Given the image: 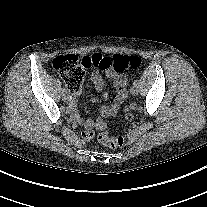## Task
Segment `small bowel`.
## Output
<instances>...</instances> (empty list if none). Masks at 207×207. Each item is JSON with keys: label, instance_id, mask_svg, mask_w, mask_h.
<instances>
[{"label": "small bowel", "instance_id": "c3829d8e", "mask_svg": "<svg viewBox=\"0 0 207 207\" xmlns=\"http://www.w3.org/2000/svg\"><path fill=\"white\" fill-rule=\"evenodd\" d=\"M106 76L109 78L116 89V93L111 97L110 104L103 105L100 108V115L104 118L115 116L122 104V102L127 97V89H126V78L124 75L118 74L114 70H107ZM91 81L94 83L96 89L102 93L101 99H92V102H98L101 100H106L108 98L107 93L105 92V83L101 72L99 70H94L90 75ZM77 94L78 92H71L70 96V104L69 111L71 114V118L74 122L80 124L87 130H90L96 127V122L91 119H82L77 113Z\"/></svg>", "mask_w": 207, "mask_h": 207}]
</instances>
